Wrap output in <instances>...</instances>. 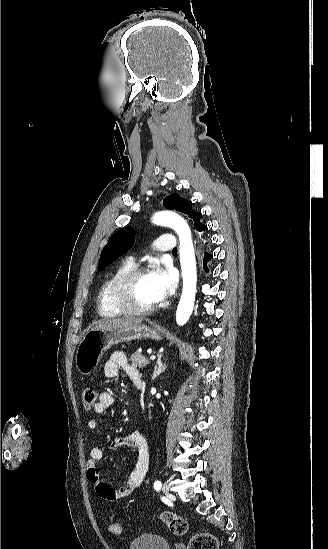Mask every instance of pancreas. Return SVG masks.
<instances>
[{
    "label": "pancreas",
    "instance_id": "obj_1",
    "mask_svg": "<svg viewBox=\"0 0 328 549\" xmlns=\"http://www.w3.org/2000/svg\"><path fill=\"white\" fill-rule=\"evenodd\" d=\"M129 361H131L133 367H139V369H144V367H147V365H149L148 359H146V357H143V355H141V353H138V351L131 355Z\"/></svg>",
    "mask_w": 328,
    "mask_h": 549
}]
</instances>
